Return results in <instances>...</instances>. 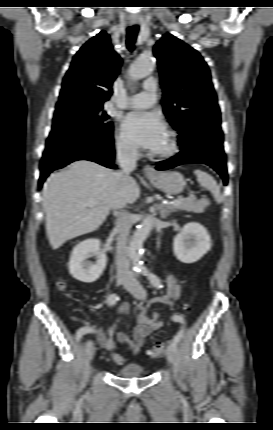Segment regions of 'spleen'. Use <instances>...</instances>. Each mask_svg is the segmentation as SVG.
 <instances>
[{
    "label": "spleen",
    "mask_w": 273,
    "mask_h": 430,
    "mask_svg": "<svg viewBox=\"0 0 273 430\" xmlns=\"http://www.w3.org/2000/svg\"><path fill=\"white\" fill-rule=\"evenodd\" d=\"M194 173L197 176L200 185L207 188L212 193L217 203H222L224 198L215 179L208 173L199 169L195 170Z\"/></svg>",
    "instance_id": "1"
}]
</instances>
